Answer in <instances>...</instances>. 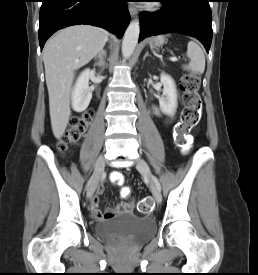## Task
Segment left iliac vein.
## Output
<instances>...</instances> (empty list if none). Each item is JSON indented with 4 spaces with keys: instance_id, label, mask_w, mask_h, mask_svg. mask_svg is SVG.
<instances>
[{
    "instance_id": "1",
    "label": "left iliac vein",
    "mask_w": 258,
    "mask_h": 275,
    "mask_svg": "<svg viewBox=\"0 0 258 275\" xmlns=\"http://www.w3.org/2000/svg\"><path fill=\"white\" fill-rule=\"evenodd\" d=\"M136 168L142 174H144L150 178L153 196H154L156 202L160 203L162 201V195H161L160 189L158 188L156 182L153 179V176L151 174V171H150V168H149L147 162L143 159H139L137 161Z\"/></svg>"
}]
</instances>
